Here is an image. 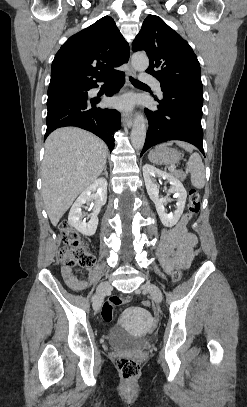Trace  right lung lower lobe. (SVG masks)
<instances>
[{"mask_svg":"<svg viewBox=\"0 0 247 407\" xmlns=\"http://www.w3.org/2000/svg\"><path fill=\"white\" fill-rule=\"evenodd\" d=\"M102 81H110L111 86L107 93L112 96L125 82V75L122 71H116ZM97 84L90 87L95 88ZM98 99H71L61 101L47 106V136L59 127L76 126L88 130L100 137L109 147L114 148V132L120 129V114L115 109H101L96 107Z\"/></svg>","mask_w":247,"mask_h":407,"instance_id":"98d812e1","label":"right lung lower lobe"}]
</instances>
